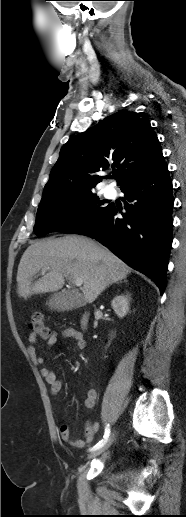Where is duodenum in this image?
Masks as SVG:
<instances>
[{
    "label": "duodenum",
    "mask_w": 186,
    "mask_h": 517,
    "mask_svg": "<svg viewBox=\"0 0 186 517\" xmlns=\"http://www.w3.org/2000/svg\"><path fill=\"white\" fill-rule=\"evenodd\" d=\"M89 324V315L88 314H84L82 319H81V325L82 327L86 328Z\"/></svg>",
    "instance_id": "duodenum-1"
}]
</instances>
